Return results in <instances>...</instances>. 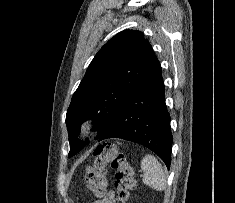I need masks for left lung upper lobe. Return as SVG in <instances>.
Masks as SVG:
<instances>
[{"label": "left lung upper lobe", "mask_w": 235, "mask_h": 203, "mask_svg": "<svg viewBox=\"0 0 235 203\" xmlns=\"http://www.w3.org/2000/svg\"><path fill=\"white\" fill-rule=\"evenodd\" d=\"M155 58L148 40L136 30L118 33L98 51L67 110L69 157L82 149L77 139L80 125L93 118L98 136L103 133Z\"/></svg>", "instance_id": "1"}]
</instances>
